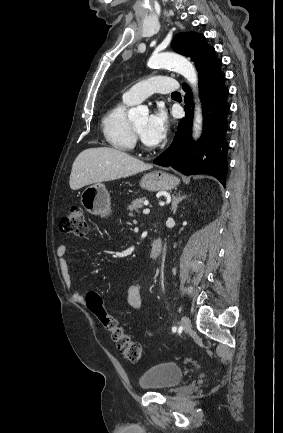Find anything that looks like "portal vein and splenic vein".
Masks as SVG:
<instances>
[{"label":"portal vein and splenic vein","instance_id":"obj_1","mask_svg":"<svg viewBox=\"0 0 283 433\" xmlns=\"http://www.w3.org/2000/svg\"><path fill=\"white\" fill-rule=\"evenodd\" d=\"M143 212H144V214H149L150 208H144Z\"/></svg>","mask_w":283,"mask_h":433}]
</instances>
